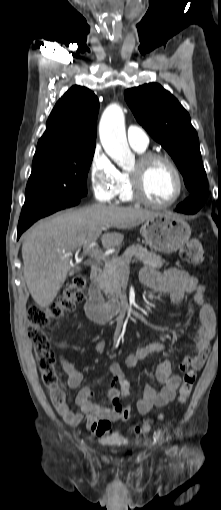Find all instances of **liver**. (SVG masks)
<instances>
[{
	"label": "liver",
	"instance_id": "obj_1",
	"mask_svg": "<svg viewBox=\"0 0 221 510\" xmlns=\"http://www.w3.org/2000/svg\"><path fill=\"white\" fill-rule=\"evenodd\" d=\"M160 213L132 207L92 205L68 210L37 222L23 236V275L36 304L48 307L68 276L79 267L70 265L73 252L87 246L104 228H133ZM123 235L107 232L101 236L105 249L120 245Z\"/></svg>",
	"mask_w": 221,
	"mask_h": 510
}]
</instances>
